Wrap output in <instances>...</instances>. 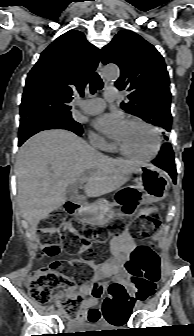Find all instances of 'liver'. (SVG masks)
I'll use <instances>...</instances> for the list:
<instances>
[{
  "label": "liver",
  "instance_id": "1",
  "mask_svg": "<svg viewBox=\"0 0 194 336\" xmlns=\"http://www.w3.org/2000/svg\"><path fill=\"white\" fill-rule=\"evenodd\" d=\"M140 164L109 158L72 132H40L21 146L16 162L22 216L35 231L42 219L66 202L70 186L83 172L90 171L86 196L99 197L123 186Z\"/></svg>",
  "mask_w": 194,
  "mask_h": 336
}]
</instances>
